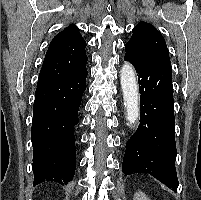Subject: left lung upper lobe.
Returning <instances> with one entry per match:
<instances>
[{
    "instance_id": "obj_1",
    "label": "left lung upper lobe",
    "mask_w": 201,
    "mask_h": 200,
    "mask_svg": "<svg viewBox=\"0 0 201 200\" xmlns=\"http://www.w3.org/2000/svg\"><path fill=\"white\" fill-rule=\"evenodd\" d=\"M125 48V57L137 64H170L168 48L163 36L147 22H140L134 27L133 34Z\"/></svg>"
}]
</instances>
